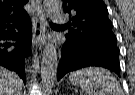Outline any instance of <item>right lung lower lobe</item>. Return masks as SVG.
<instances>
[{
    "instance_id": "98d812e1",
    "label": "right lung lower lobe",
    "mask_w": 135,
    "mask_h": 95,
    "mask_svg": "<svg viewBox=\"0 0 135 95\" xmlns=\"http://www.w3.org/2000/svg\"><path fill=\"white\" fill-rule=\"evenodd\" d=\"M31 41L32 25L29 16L19 22L0 25V65L15 71L24 83V59L31 54Z\"/></svg>"
}]
</instances>
